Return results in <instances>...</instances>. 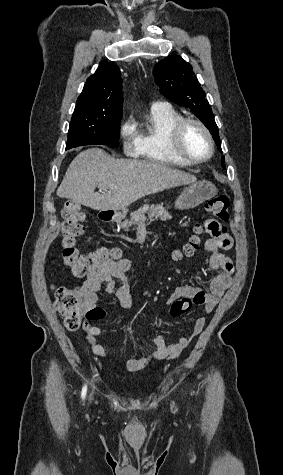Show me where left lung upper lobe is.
<instances>
[{"instance_id":"5c2ea615","label":"left lung upper lobe","mask_w":283,"mask_h":475,"mask_svg":"<svg viewBox=\"0 0 283 475\" xmlns=\"http://www.w3.org/2000/svg\"><path fill=\"white\" fill-rule=\"evenodd\" d=\"M153 73L160 92L171 101L190 108L209 129L217 146L221 147L214 115L192 66L180 56L172 55L156 64Z\"/></svg>"}]
</instances>
